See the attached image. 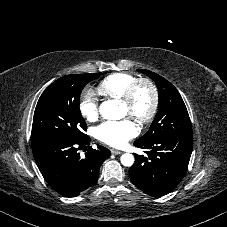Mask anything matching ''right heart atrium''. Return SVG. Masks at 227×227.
I'll return each instance as SVG.
<instances>
[{
  "label": "right heart atrium",
  "mask_w": 227,
  "mask_h": 227,
  "mask_svg": "<svg viewBox=\"0 0 227 227\" xmlns=\"http://www.w3.org/2000/svg\"><path fill=\"white\" fill-rule=\"evenodd\" d=\"M79 111L88 121H95L100 114L99 100L92 91H86L79 101Z\"/></svg>",
  "instance_id": "1"
}]
</instances>
